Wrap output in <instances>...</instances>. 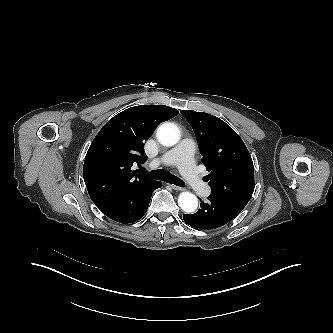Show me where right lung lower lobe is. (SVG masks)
<instances>
[{
  "mask_svg": "<svg viewBox=\"0 0 333 333\" xmlns=\"http://www.w3.org/2000/svg\"><path fill=\"white\" fill-rule=\"evenodd\" d=\"M161 186V182L152 180L123 199L99 209L114 221L124 224L136 222L146 213L153 191Z\"/></svg>",
  "mask_w": 333,
  "mask_h": 333,
  "instance_id": "right-lung-lower-lobe-1",
  "label": "right lung lower lobe"
}]
</instances>
